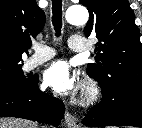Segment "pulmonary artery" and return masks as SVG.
Listing matches in <instances>:
<instances>
[{
    "instance_id": "obj_1",
    "label": "pulmonary artery",
    "mask_w": 142,
    "mask_h": 128,
    "mask_svg": "<svg viewBox=\"0 0 142 128\" xmlns=\"http://www.w3.org/2000/svg\"><path fill=\"white\" fill-rule=\"evenodd\" d=\"M68 44L70 50L76 53H82L87 50L86 40L79 35H72ZM34 50L35 53L25 62L26 70L34 69L55 55V51L51 47L42 44L36 45Z\"/></svg>"
}]
</instances>
